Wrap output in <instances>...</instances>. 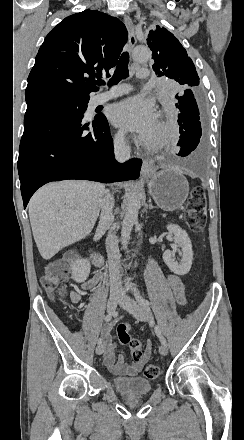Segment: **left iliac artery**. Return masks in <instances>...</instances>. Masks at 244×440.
Segmentation results:
<instances>
[{
	"label": "left iliac artery",
	"instance_id": "1",
	"mask_svg": "<svg viewBox=\"0 0 244 440\" xmlns=\"http://www.w3.org/2000/svg\"><path fill=\"white\" fill-rule=\"evenodd\" d=\"M134 295H135V299H136V301L138 302L139 305H141L145 309H149L150 308V302L147 299H145L144 297H142L140 295V293L136 289H135V294ZM155 333L158 336L160 342L167 346V341L164 338V336L162 335L160 327L158 325L155 327Z\"/></svg>",
	"mask_w": 244,
	"mask_h": 440
}]
</instances>
